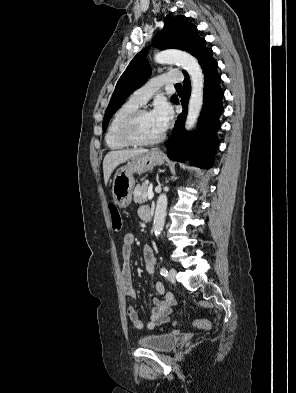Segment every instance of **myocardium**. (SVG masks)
Returning a JSON list of instances; mask_svg holds the SVG:
<instances>
[{
	"label": "myocardium",
	"mask_w": 296,
	"mask_h": 393,
	"mask_svg": "<svg viewBox=\"0 0 296 393\" xmlns=\"http://www.w3.org/2000/svg\"><path fill=\"white\" fill-rule=\"evenodd\" d=\"M148 112L150 111L147 108H138L124 120L120 128V136L125 143L130 146H149L156 144L163 139V132L159 136L150 140H142L137 136L136 129L138 122L140 118Z\"/></svg>",
	"instance_id": "obj_1"
}]
</instances>
